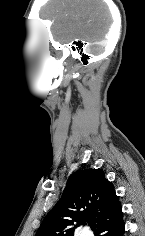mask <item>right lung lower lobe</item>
I'll return each mask as SVG.
<instances>
[{"mask_svg": "<svg viewBox=\"0 0 145 236\" xmlns=\"http://www.w3.org/2000/svg\"><path fill=\"white\" fill-rule=\"evenodd\" d=\"M122 216V207H120L115 214L94 230V234L96 236H123L125 225Z\"/></svg>", "mask_w": 145, "mask_h": 236, "instance_id": "obj_1", "label": "right lung lower lobe"}]
</instances>
